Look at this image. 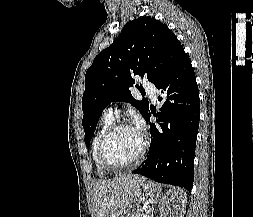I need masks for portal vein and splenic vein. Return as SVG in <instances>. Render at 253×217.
Instances as JSON below:
<instances>
[{
	"instance_id": "obj_1",
	"label": "portal vein and splenic vein",
	"mask_w": 253,
	"mask_h": 217,
	"mask_svg": "<svg viewBox=\"0 0 253 217\" xmlns=\"http://www.w3.org/2000/svg\"><path fill=\"white\" fill-rule=\"evenodd\" d=\"M152 211V207L148 206L144 209V214L147 215Z\"/></svg>"
}]
</instances>
